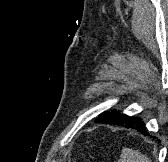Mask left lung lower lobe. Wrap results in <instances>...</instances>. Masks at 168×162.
I'll use <instances>...</instances> for the list:
<instances>
[{
  "instance_id": "0a47b994",
  "label": "left lung lower lobe",
  "mask_w": 168,
  "mask_h": 162,
  "mask_svg": "<svg viewBox=\"0 0 168 162\" xmlns=\"http://www.w3.org/2000/svg\"><path fill=\"white\" fill-rule=\"evenodd\" d=\"M96 123H103V124H111V125H118L125 128H132L137 130L138 132L149 135L147 131L144 121H142L139 117H130L125 114H120V111H112V112H105L102 113L100 119L95 120Z\"/></svg>"
}]
</instances>
